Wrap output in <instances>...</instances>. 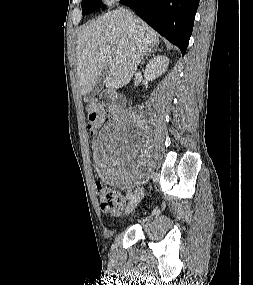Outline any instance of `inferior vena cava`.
<instances>
[{
    "label": "inferior vena cava",
    "instance_id": "602c4592",
    "mask_svg": "<svg viewBox=\"0 0 253 285\" xmlns=\"http://www.w3.org/2000/svg\"><path fill=\"white\" fill-rule=\"evenodd\" d=\"M130 21H131V23H132V24H134V23H135V19H134V17H133V15H132V14H130Z\"/></svg>",
    "mask_w": 253,
    "mask_h": 285
}]
</instances>
